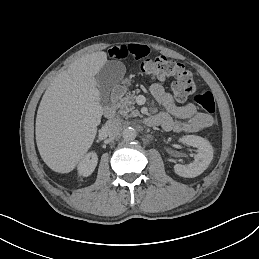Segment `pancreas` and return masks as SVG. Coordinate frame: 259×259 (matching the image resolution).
I'll list each match as a JSON object with an SVG mask.
<instances>
[{
	"instance_id": "obj_1",
	"label": "pancreas",
	"mask_w": 259,
	"mask_h": 259,
	"mask_svg": "<svg viewBox=\"0 0 259 259\" xmlns=\"http://www.w3.org/2000/svg\"><path fill=\"white\" fill-rule=\"evenodd\" d=\"M135 95L126 96L125 98L121 99L120 103V111L119 113L123 116L128 117V112L133 110L132 116L138 117L140 116V113L138 110H135V107L133 106L135 104Z\"/></svg>"
}]
</instances>
